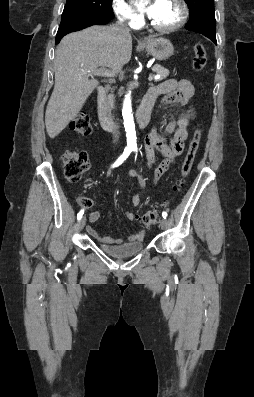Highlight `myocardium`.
Returning a JSON list of instances; mask_svg holds the SVG:
<instances>
[{
    "instance_id": "f54148a6",
    "label": "myocardium",
    "mask_w": 254,
    "mask_h": 397,
    "mask_svg": "<svg viewBox=\"0 0 254 397\" xmlns=\"http://www.w3.org/2000/svg\"><path fill=\"white\" fill-rule=\"evenodd\" d=\"M173 1L180 8V17H179L178 21L172 25H169V26H159V25L155 24L150 18L149 25L154 30H156L158 32L168 33V32H173V31L178 30L185 24V22L188 18V8H187L186 3L183 0H173Z\"/></svg>"
}]
</instances>
